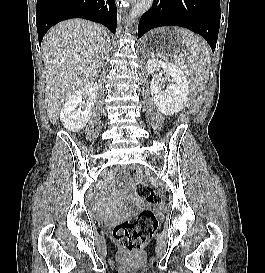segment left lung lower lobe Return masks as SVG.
<instances>
[{
	"instance_id": "0a47b994",
	"label": "left lung lower lobe",
	"mask_w": 265,
	"mask_h": 273,
	"mask_svg": "<svg viewBox=\"0 0 265 273\" xmlns=\"http://www.w3.org/2000/svg\"><path fill=\"white\" fill-rule=\"evenodd\" d=\"M220 0H154L138 26V38L161 26H181L194 31L214 52L220 27Z\"/></svg>"
}]
</instances>
